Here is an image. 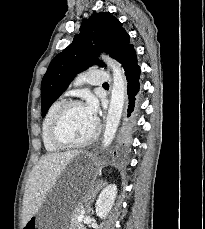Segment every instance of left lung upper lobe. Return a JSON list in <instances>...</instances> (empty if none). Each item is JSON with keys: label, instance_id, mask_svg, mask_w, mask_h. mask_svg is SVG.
<instances>
[{"label": "left lung upper lobe", "instance_id": "5c2ea615", "mask_svg": "<svg viewBox=\"0 0 205 229\" xmlns=\"http://www.w3.org/2000/svg\"><path fill=\"white\" fill-rule=\"evenodd\" d=\"M130 45L121 22L109 12L84 19L73 42L51 61L41 83V108L44 117L52 103L68 87L73 77L96 63L97 53L106 52L118 61ZM103 67L104 63L100 62Z\"/></svg>", "mask_w": 205, "mask_h": 229}]
</instances>
